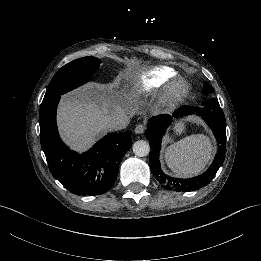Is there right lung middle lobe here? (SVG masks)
<instances>
[{
  "label": "right lung middle lobe",
  "mask_w": 261,
  "mask_h": 261,
  "mask_svg": "<svg viewBox=\"0 0 261 261\" xmlns=\"http://www.w3.org/2000/svg\"><path fill=\"white\" fill-rule=\"evenodd\" d=\"M101 63L95 57H83L64 65L52 78L43 101L73 90L90 79Z\"/></svg>",
  "instance_id": "1"
}]
</instances>
